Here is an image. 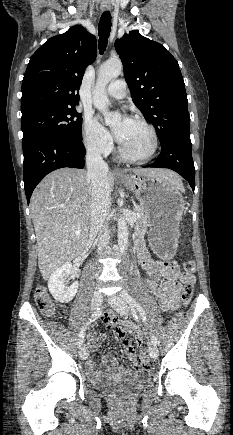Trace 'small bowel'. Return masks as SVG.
<instances>
[{
  "label": "small bowel",
  "mask_w": 233,
  "mask_h": 435,
  "mask_svg": "<svg viewBox=\"0 0 233 435\" xmlns=\"http://www.w3.org/2000/svg\"><path fill=\"white\" fill-rule=\"evenodd\" d=\"M136 249L140 265L148 274L147 286L158 299L159 309L162 312L175 310L179 304L181 282L186 279L187 275L182 273L180 266L174 261L153 259L142 242H137ZM161 278H163V282L160 281ZM104 321L107 328L112 330L119 338L123 345L124 352L135 366L139 356L135 354L133 347L127 339V335H132L136 345L141 346L144 338L139 326L131 321L121 319L114 311L106 312ZM107 339L108 335L97 334L95 342L90 344L91 351H96ZM101 365L102 368L99 370L97 369L95 359L92 357L88 359L86 368L90 379L99 381L104 374L124 376L133 379L148 373L145 370H139L136 366L135 370L132 371L118 364L116 358L112 355L104 356Z\"/></svg>",
  "instance_id": "small-bowel-1"
}]
</instances>
